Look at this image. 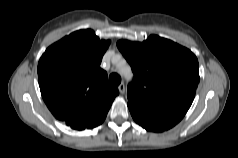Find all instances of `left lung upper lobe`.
Here are the masks:
<instances>
[{
  "instance_id": "obj_1",
  "label": "left lung upper lobe",
  "mask_w": 238,
  "mask_h": 158,
  "mask_svg": "<svg viewBox=\"0 0 238 158\" xmlns=\"http://www.w3.org/2000/svg\"><path fill=\"white\" fill-rule=\"evenodd\" d=\"M117 47L134 73L129 106L147 114H186L199 83L198 60L189 49L156 35L142 43L120 40Z\"/></svg>"
}]
</instances>
